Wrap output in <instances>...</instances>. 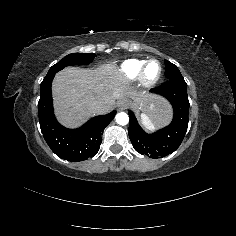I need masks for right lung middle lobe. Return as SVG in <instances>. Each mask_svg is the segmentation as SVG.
Masks as SVG:
<instances>
[{
	"label": "right lung middle lobe",
	"instance_id": "obj_1",
	"mask_svg": "<svg viewBox=\"0 0 236 236\" xmlns=\"http://www.w3.org/2000/svg\"><path fill=\"white\" fill-rule=\"evenodd\" d=\"M95 54L92 53H72L64 57L61 61L53 65L48 72H58L66 66L85 65L93 61Z\"/></svg>",
	"mask_w": 236,
	"mask_h": 236
}]
</instances>
